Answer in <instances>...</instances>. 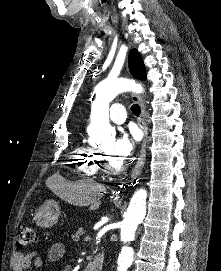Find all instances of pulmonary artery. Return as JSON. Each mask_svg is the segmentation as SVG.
<instances>
[{
  "instance_id": "1",
  "label": "pulmonary artery",
  "mask_w": 221,
  "mask_h": 271,
  "mask_svg": "<svg viewBox=\"0 0 221 271\" xmlns=\"http://www.w3.org/2000/svg\"><path fill=\"white\" fill-rule=\"evenodd\" d=\"M113 106H116V103H113ZM109 111L107 113V116L109 117V122H117L116 124L120 126L121 122H126L125 117V107H110Z\"/></svg>"
}]
</instances>
